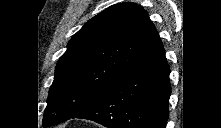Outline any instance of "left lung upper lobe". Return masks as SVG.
Masks as SVG:
<instances>
[{"label":"left lung upper lobe","mask_w":221,"mask_h":128,"mask_svg":"<svg viewBox=\"0 0 221 128\" xmlns=\"http://www.w3.org/2000/svg\"><path fill=\"white\" fill-rule=\"evenodd\" d=\"M159 40L146 11L135 3H118L93 17L57 63L43 126L64 122L100 99Z\"/></svg>","instance_id":"left-lung-upper-lobe-1"}]
</instances>
